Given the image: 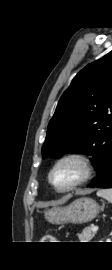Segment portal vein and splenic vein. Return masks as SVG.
Instances as JSON below:
<instances>
[{"label":"portal vein and splenic vein","mask_w":112,"mask_h":270,"mask_svg":"<svg viewBox=\"0 0 112 270\" xmlns=\"http://www.w3.org/2000/svg\"><path fill=\"white\" fill-rule=\"evenodd\" d=\"M91 229H92V231H97L98 230V226L97 225H92Z\"/></svg>","instance_id":"18ae733b"}]
</instances>
